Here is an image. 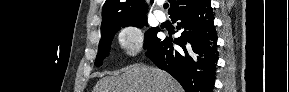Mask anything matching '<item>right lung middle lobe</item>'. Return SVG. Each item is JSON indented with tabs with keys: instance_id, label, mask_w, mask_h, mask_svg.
Returning a JSON list of instances; mask_svg holds the SVG:
<instances>
[{
	"instance_id": "1",
	"label": "right lung middle lobe",
	"mask_w": 289,
	"mask_h": 92,
	"mask_svg": "<svg viewBox=\"0 0 289 92\" xmlns=\"http://www.w3.org/2000/svg\"><path fill=\"white\" fill-rule=\"evenodd\" d=\"M143 25L147 26L146 18L134 20V21L116 23L114 25L107 27L104 30H101V40L98 46V54L96 57L95 65L96 66L102 65V60L109 54V50H110V46H111V42L114 37V34L120 29L121 26H136L140 28ZM158 31L159 30L157 28H151L145 33V43H144L145 48L148 49L152 45L154 40L157 39Z\"/></svg>"
}]
</instances>
